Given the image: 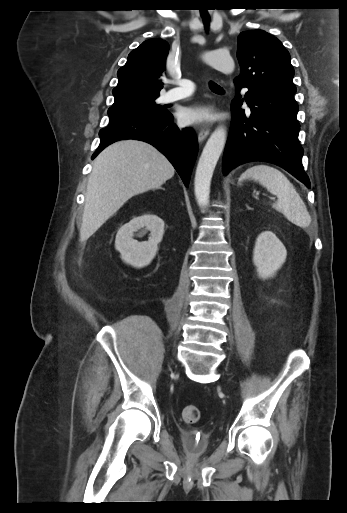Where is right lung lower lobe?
<instances>
[{"label": "right lung lower lobe", "mask_w": 347, "mask_h": 513, "mask_svg": "<svg viewBox=\"0 0 347 513\" xmlns=\"http://www.w3.org/2000/svg\"><path fill=\"white\" fill-rule=\"evenodd\" d=\"M99 136L100 145L92 159L105 147L118 140H141L162 152L172 163L185 186H188L198 153L197 139L192 130H180L173 124L172 115L168 111L157 118L134 115L110 120L109 125L100 130Z\"/></svg>", "instance_id": "1"}]
</instances>
